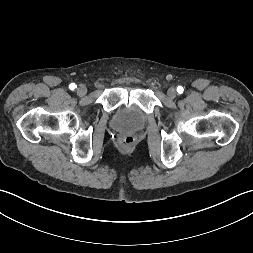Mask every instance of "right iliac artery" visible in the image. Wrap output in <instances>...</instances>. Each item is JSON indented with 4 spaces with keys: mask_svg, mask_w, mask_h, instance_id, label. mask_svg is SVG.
Returning <instances> with one entry per match:
<instances>
[{
    "mask_svg": "<svg viewBox=\"0 0 253 253\" xmlns=\"http://www.w3.org/2000/svg\"><path fill=\"white\" fill-rule=\"evenodd\" d=\"M76 87H77V85H75L74 83H71V84L69 85V88H70L71 90H74Z\"/></svg>",
    "mask_w": 253,
    "mask_h": 253,
    "instance_id": "1",
    "label": "right iliac artery"
}]
</instances>
